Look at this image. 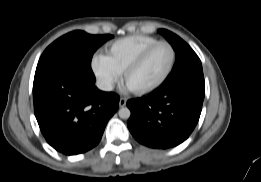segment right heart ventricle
<instances>
[{
  "mask_svg": "<svg viewBox=\"0 0 261 182\" xmlns=\"http://www.w3.org/2000/svg\"><path fill=\"white\" fill-rule=\"evenodd\" d=\"M158 42V39L150 36H130L109 45L106 56L113 67L119 73H123L142 52Z\"/></svg>",
  "mask_w": 261,
  "mask_h": 182,
  "instance_id": "1",
  "label": "right heart ventricle"
}]
</instances>
